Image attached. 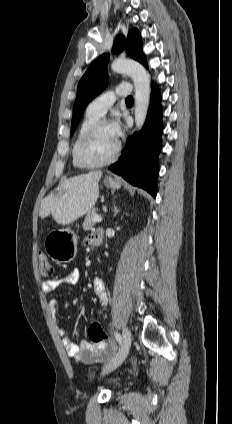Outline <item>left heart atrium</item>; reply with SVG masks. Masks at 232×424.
Masks as SVG:
<instances>
[{"label":"left heart atrium","mask_w":232,"mask_h":424,"mask_svg":"<svg viewBox=\"0 0 232 424\" xmlns=\"http://www.w3.org/2000/svg\"><path fill=\"white\" fill-rule=\"evenodd\" d=\"M113 134L118 139L122 135V126L119 120H114L110 124Z\"/></svg>","instance_id":"1"}]
</instances>
